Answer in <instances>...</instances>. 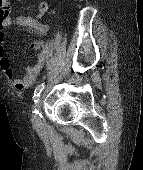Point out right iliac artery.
<instances>
[{"label": "right iliac artery", "mask_w": 143, "mask_h": 170, "mask_svg": "<svg viewBox=\"0 0 143 170\" xmlns=\"http://www.w3.org/2000/svg\"><path fill=\"white\" fill-rule=\"evenodd\" d=\"M44 87H45L44 82L37 85V87H36V89L34 91V95H33L34 102L38 101V98H39L42 90L44 89ZM34 113H37V111H34Z\"/></svg>", "instance_id": "82829eb1"}]
</instances>
